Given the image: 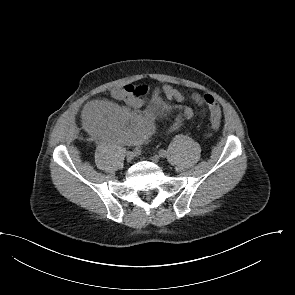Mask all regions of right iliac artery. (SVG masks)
Masks as SVG:
<instances>
[{
  "mask_svg": "<svg viewBox=\"0 0 295 295\" xmlns=\"http://www.w3.org/2000/svg\"><path fill=\"white\" fill-rule=\"evenodd\" d=\"M135 152L136 153H141L142 152V146L141 145H136L135 146Z\"/></svg>",
  "mask_w": 295,
  "mask_h": 295,
  "instance_id": "right-iliac-artery-1",
  "label": "right iliac artery"
}]
</instances>
